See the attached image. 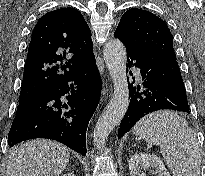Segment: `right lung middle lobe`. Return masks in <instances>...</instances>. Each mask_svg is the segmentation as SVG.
Instances as JSON below:
<instances>
[{
  "instance_id": "right-lung-middle-lobe-1",
  "label": "right lung middle lobe",
  "mask_w": 205,
  "mask_h": 176,
  "mask_svg": "<svg viewBox=\"0 0 205 176\" xmlns=\"http://www.w3.org/2000/svg\"><path fill=\"white\" fill-rule=\"evenodd\" d=\"M29 99H19V105H18V108H20L24 103H26ZM17 108V109H18Z\"/></svg>"
}]
</instances>
